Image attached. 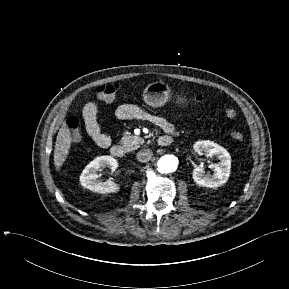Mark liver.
Here are the masks:
<instances>
[{"mask_svg":"<svg viewBox=\"0 0 289 289\" xmlns=\"http://www.w3.org/2000/svg\"><path fill=\"white\" fill-rule=\"evenodd\" d=\"M72 138L71 133L67 125L64 123L59 129L55 149H54V165L56 170H59L67 158L70 150Z\"/></svg>","mask_w":289,"mask_h":289,"instance_id":"6515ba94","label":"liver"}]
</instances>
